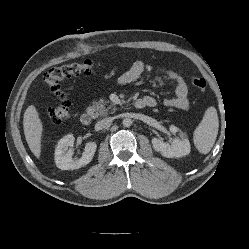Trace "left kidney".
Here are the masks:
<instances>
[{
    "instance_id": "5707ae66",
    "label": "left kidney",
    "mask_w": 249,
    "mask_h": 249,
    "mask_svg": "<svg viewBox=\"0 0 249 249\" xmlns=\"http://www.w3.org/2000/svg\"><path fill=\"white\" fill-rule=\"evenodd\" d=\"M172 133L179 131V128L175 125L169 127ZM152 145L155 151L160 152L162 156L166 158H180L190 153V142L186 136L181 133L180 138H175L172 144L164 143L160 139L153 138Z\"/></svg>"
}]
</instances>
